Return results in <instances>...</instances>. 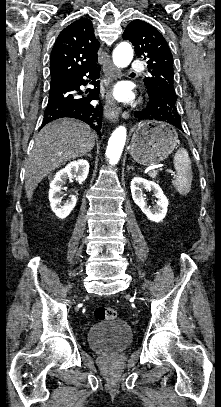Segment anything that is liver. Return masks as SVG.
I'll use <instances>...</instances> for the list:
<instances>
[{
  "label": "liver",
  "instance_id": "1",
  "mask_svg": "<svg viewBox=\"0 0 221 407\" xmlns=\"http://www.w3.org/2000/svg\"><path fill=\"white\" fill-rule=\"evenodd\" d=\"M95 145V133L87 124L60 119L45 125L35 137L25 166V191L30 201L38 184L51 171L82 157Z\"/></svg>",
  "mask_w": 221,
  "mask_h": 407
}]
</instances>
